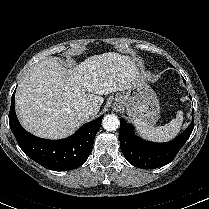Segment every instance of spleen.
Returning a JSON list of instances; mask_svg holds the SVG:
<instances>
[{
    "label": "spleen",
    "mask_w": 209,
    "mask_h": 209,
    "mask_svg": "<svg viewBox=\"0 0 209 209\" xmlns=\"http://www.w3.org/2000/svg\"><path fill=\"white\" fill-rule=\"evenodd\" d=\"M183 111L177 112L176 118L164 126L153 127L144 122L135 120L134 123L142 137L154 142H167L175 138L182 126Z\"/></svg>",
    "instance_id": "1"
}]
</instances>
